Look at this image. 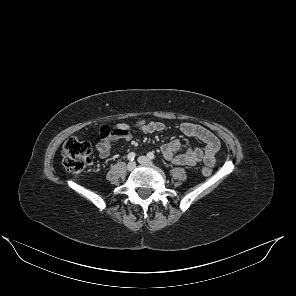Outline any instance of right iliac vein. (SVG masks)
<instances>
[{
    "mask_svg": "<svg viewBox=\"0 0 296 296\" xmlns=\"http://www.w3.org/2000/svg\"><path fill=\"white\" fill-rule=\"evenodd\" d=\"M136 167V163L135 162H129L127 165V170L128 171H133Z\"/></svg>",
    "mask_w": 296,
    "mask_h": 296,
    "instance_id": "right-iliac-vein-1",
    "label": "right iliac vein"
}]
</instances>
